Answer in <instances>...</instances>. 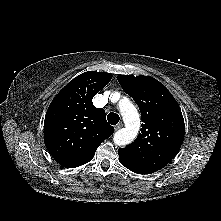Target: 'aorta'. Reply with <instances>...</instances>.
<instances>
[{"mask_svg":"<svg viewBox=\"0 0 221 221\" xmlns=\"http://www.w3.org/2000/svg\"><path fill=\"white\" fill-rule=\"evenodd\" d=\"M120 112L125 128L118 130L114 134L113 141L115 145L125 146L136 138L140 128V116L136 107L130 102L122 104Z\"/></svg>","mask_w":221,"mask_h":221,"instance_id":"1","label":"aorta"}]
</instances>
